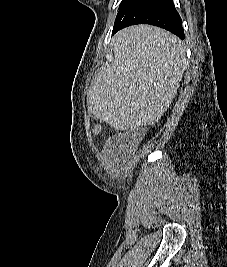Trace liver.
<instances>
[{"instance_id":"6515ba94","label":"liver","mask_w":227,"mask_h":267,"mask_svg":"<svg viewBox=\"0 0 227 267\" xmlns=\"http://www.w3.org/2000/svg\"><path fill=\"white\" fill-rule=\"evenodd\" d=\"M114 61L93 79L88 110L117 130L153 125L177 94L185 49L161 28L136 25L112 39Z\"/></svg>"}]
</instances>
